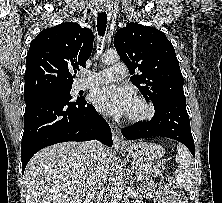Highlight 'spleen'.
Listing matches in <instances>:
<instances>
[{
    "label": "spleen",
    "mask_w": 222,
    "mask_h": 203,
    "mask_svg": "<svg viewBox=\"0 0 222 203\" xmlns=\"http://www.w3.org/2000/svg\"><path fill=\"white\" fill-rule=\"evenodd\" d=\"M175 159L179 165L175 171L176 180L185 190H189L195 178V168L192 156L184 145L178 144Z\"/></svg>",
    "instance_id": "3e777b00"
}]
</instances>
